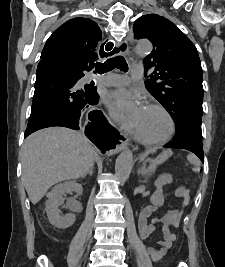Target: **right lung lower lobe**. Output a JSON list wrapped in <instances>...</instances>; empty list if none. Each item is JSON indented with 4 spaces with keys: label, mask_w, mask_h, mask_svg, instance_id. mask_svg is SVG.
Wrapping results in <instances>:
<instances>
[{
    "label": "right lung lower lobe",
    "mask_w": 225,
    "mask_h": 267,
    "mask_svg": "<svg viewBox=\"0 0 225 267\" xmlns=\"http://www.w3.org/2000/svg\"><path fill=\"white\" fill-rule=\"evenodd\" d=\"M83 76L81 69L65 61L41 59L25 138L39 129L52 126L79 129L81 110L98 102L85 86L78 84ZM89 119L91 122L85 128L86 136L102 152L113 148L118 141V132L107 123L100 111H91Z\"/></svg>",
    "instance_id": "1"
}]
</instances>
